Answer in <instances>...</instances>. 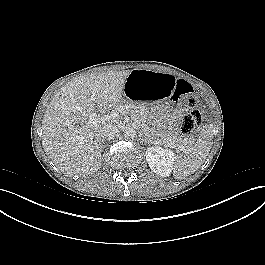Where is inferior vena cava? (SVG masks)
<instances>
[{"label": "inferior vena cava", "mask_w": 265, "mask_h": 265, "mask_svg": "<svg viewBox=\"0 0 265 265\" xmlns=\"http://www.w3.org/2000/svg\"><path fill=\"white\" fill-rule=\"evenodd\" d=\"M118 133V128L114 125H106L101 130V137L104 139H112Z\"/></svg>", "instance_id": "1"}]
</instances>
